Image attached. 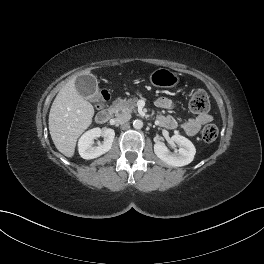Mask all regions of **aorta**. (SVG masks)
Masks as SVG:
<instances>
[{"label": "aorta", "instance_id": "aorta-1", "mask_svg": "<svg viewBox=\"0 0 264 264\" xmlns=\"http://www.w3.org/2000/svg\"><path fill=\"white\" fill-rule=\"evenodd\" d=\"M133 127L137 130L141 129L143 127V121L140 119L134 120Z\"/></svg>", "mask_w": 264, "mask_h": 264}]
</instances>
